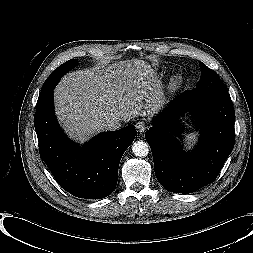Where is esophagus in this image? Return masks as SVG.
<instances>
[{
  "instance_id": "obj_1",
  "label": "esophagus",
  "mask_w": 253,
  "mask_h": 253,
  "mask_svg": "<svg viewBox=\"0 0 253 253\" xmlns=\"http://www.w3.org/2000/svg\"><path fill=\"white\" fill-rule=\"evenodd\" d=\"M136 129H137L138 132L143 133L147 129V126H146L145 122L139 121L136 124Z\"/></svg>"
}]
</instances>
